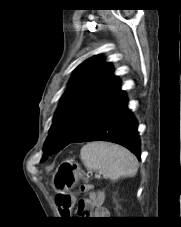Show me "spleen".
Instances as JSON below:
<instances>
[{"mask_svg": "<svg viewBox=\"0 0 181 227\" xmlns=\"http://www.w3.org/2000/svg\"><path fill=\"white\" fill-rule=\"evenodd\" d=\"M80 158L88 170L113 181L133 177L138 170V161L129 150L109 142L87 143L81 148Z\"/></svg>", "mask_w": 181, "mask_h": 227, "instance_id": "1", "label": "spleen"}]
</instances>
